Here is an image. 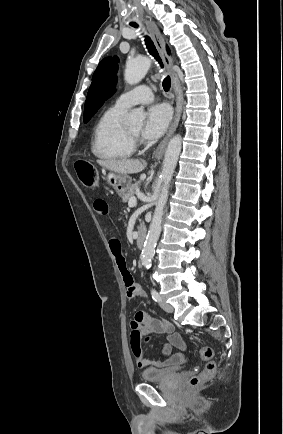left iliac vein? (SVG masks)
I'll list each match as a JSON object with an SVG mask.
<instances>
[{
	"mask_svg": "<svg viewBox=\"0 0 283 434\" xmlns=\"http://www.w3.org/2000/svg\"><path fill=\"white\" fill-rule=\"evenodd\" d=\"M159 305H160V307H161L164 311H166V312H168V313H172V312H173V307H172V305H170L169 303H167V302L161 300L160 303H159Z\"/></svg>",
	"mask_w": 283,
	"mask_h": 434,
	"instance_id": "4c4485c4",
	"label": "left iliac vein"
}]
</instances>
